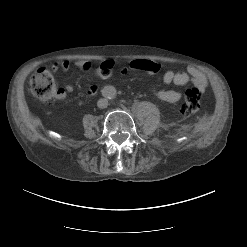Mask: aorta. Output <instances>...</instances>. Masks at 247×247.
Masks as SVG:
<instances>
[{
  "instance_id": "aorta-1",
  "label": "aorta",
  "mask_w": 247,
  "mask_h": 247,
  "mask_svg": "<svg viewBox=\"0 0 247 247\" xmlns=\"http://www.w3.org/2000/svg\"><path fill=\"white\" fill-rule=\"evenodd\" d=\"M103 93L107 99H114L116 97L117 91L113 86H106L103 90Z\"/></svg>"
}]
</instances>
